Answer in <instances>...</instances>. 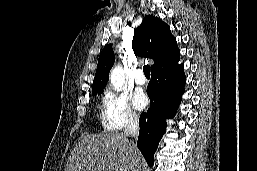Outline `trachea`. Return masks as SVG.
I'll return each mask as SVG.
<instances>
[{
  "label": "trachea",
  "instance_id": "1",
  "mask_svg": "<svg viewBox=\"0 0 257 171\" xmlns=\"http://www.w3.org/2000/svg\"><path fill=\"white\" fill-rule=\"evenodd\" d=\"M143 72H144V75H145L146 77H150V66H149V65H145V66L143 67Z\"/></svg>",
  "mask_w": 257,
  "mask_h": 171
}]
</instances>
